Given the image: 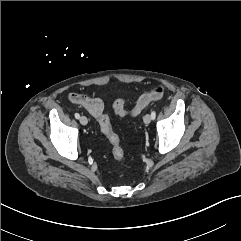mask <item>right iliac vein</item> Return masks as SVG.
<instances>
[{
  "mask_svg": "<svg viewBox=\"0 0 241 241\" xmlns=\"http://www.w3.org/2000/svg\"><path fill=\"white\" fill-rule=\"evenodd\" d=\"M79 121L82 125H87L88 123V119L85 116H81Z\"/></svg>",
  "mask_w": 241,
  "mask_h": 241,
  "instance_id": "1",
  "label": "right iliac vein"
}]
</instances>
